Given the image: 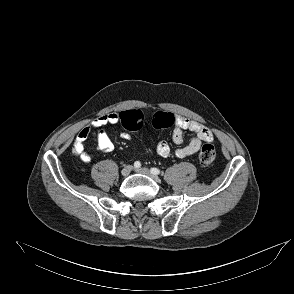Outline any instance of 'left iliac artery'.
<instances>
[{
  "instance_id": "obj_1",
  "label": "left iliac artery",
  "mask_w": 294,
  "mask_h": 294,
  "mask_svg": "<svg viewBox=\"0 0 294 294\" xmlns=\"http://www.w3.org/2000/svg\"><path fill=\"white\" fill-rule=\"evenodd\" d=\"M151 172L155 175L160 174V170L158 168H151Z\"/></svg>"
}]
</instances>
